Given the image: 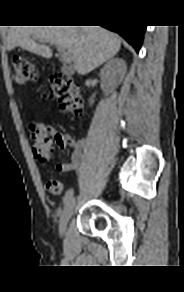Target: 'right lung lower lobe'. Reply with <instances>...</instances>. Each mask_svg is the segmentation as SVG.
<instances>
[{
  "mask_svg": "<svg viewBox=\"0 0 184 292\" xmlns=\"http://www.w3.org/2000/svg\"><path fill=\"white\" fill-rule=\"evenodd\" d=\"M103 27L117 32L121 35L127 42H129L135 50L138 52L142 45V40L144 37V32L146 26H129V25H103Z\"/></svg>",
  "mask_w": 184,
  "mask_h": 292,
  "instance_id": "98d812e1",
  "label": "right lung lower lobe"
}]
</instances>
